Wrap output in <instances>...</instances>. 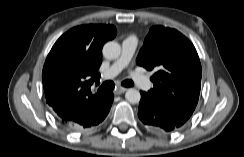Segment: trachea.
I'll return each instance as SVG.
<instances>
[{
  "mask_svg": "<svg viewBox=\"0 0 244 157\" xmlns=\"http://www.w3.org/2000/svg\"><path fill=\"white\" fill-rule=\"evenodd\" d=\"M122 85L125 87H132L134 85L132 80H125L122 82ZM115 85L112 81H106L104 82L101 87L98 89V92H109L114 89Z\"/></svg>",
  "mask_w": 244,
  "mask_h": 157,
  "instance_id": "obj_1",
  "label": "trachea"
}]
</instances>
